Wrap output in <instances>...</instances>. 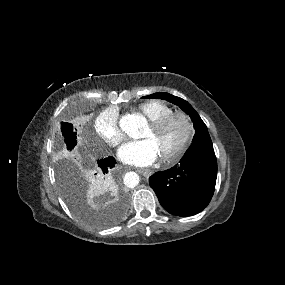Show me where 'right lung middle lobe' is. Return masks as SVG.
Listing matches in <instances>:
<instances>
[{"label":"right lung middle lobe","instance_id":"right-lung-middle-lobe-1","mask_svg":"<svg viewBox=\"0 0 285 285\" xmlns=\"http://www.w3.org/2000/svg\"><path fill=\"white\" fill-rule=\"evenodd\" d=\"M61 132L56 138L60 160L57 164V178L61 193L70 209L80 218L96 227H108L117 223L123 210L111 220H99L88 211L85 191L89 180H101L97 162L77 146V132L70 123H61Z\"/></svg>","mask_w":285,"mask_h":285}]
</instances>
